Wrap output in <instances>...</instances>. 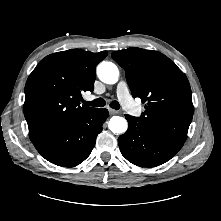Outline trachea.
<instances>
[{"mask_svg":"<svg viewBox=\"0 0 221 221\" xmlns=\"http://www.w3.org/2000/svg\"><path fill=\"white\" fill-rule=\"evenodd\" d=\"M83 103L85 105L94 106V107H104L106 105V101L102 98H98V99H96L94 101H90V102L83 101ZM110 107L115 110H119L120 104L116 100H114L110 103Z\"/></svg>","mask_w":221,"mask_h":221,"instance_id":"3493384b","label":"trachea"}]
</instances>
